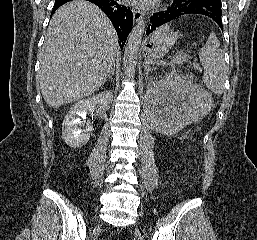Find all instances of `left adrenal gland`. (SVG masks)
Masks as SVG:
<instances>
[{
  "mask_svg": "<svg viewBox=\"0 0 257 240\" xmlns=\"http://www.w3.org/2000/svg\"><path fill=\"white\" fill-rule=\"evenodd\" d=\"M152 68L149 67V65L145 64V71H146V75H148L149 71H151Z\"/></svg>",
  "mask_w": 257,
  "mask_h": 240,
  "instance_id": "left-adrenal-gland-1",
  "label": "left adrenal gland"
}]
</instances>
